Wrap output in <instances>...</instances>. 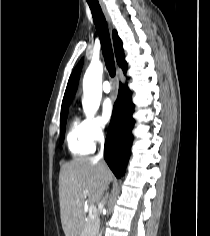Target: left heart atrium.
I'll return each instance as SVG.
<instances>
[{
  "label": "left heart atrium",
  "mask_w": 210,
  "mask_h": 236,
  "mask_svg": "<svg viewBox=\"0 0 210 236\" xmlns=\"http://www.w3.org/2000/svg\"><path fill=\"white\" fill-rule=\"evenodd\" d=\"M113 111H114V107H113L112 100L111 99H105L103 104H102V109H101L102 120L105 123H108L112 119Z\"/></svg>",
  "instance_id": "obj_1"
}]
</instances>
